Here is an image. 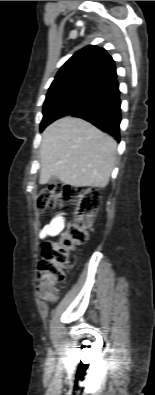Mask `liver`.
<instances>
[{
  "mask_svg": "<svg viewBox=\"0 0 155 395\" xmlns=\"http://www.w3.org/2000/svg\"><path fill=\"white\" fill-rule=\"evenodd\" d=\"M117 143L89 122L64 117L42 134L40 184L52 177L73 187L107 186L115 167Z\"/></svg>",
  "mask_w": 155,
  "mask_h": 395,
  "instance_id": "obj_1",
  "label": "liver"
}]
</instances>
